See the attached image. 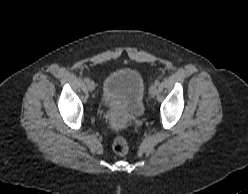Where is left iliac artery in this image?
I'll use <instances>...</instances> for the list:
<instances>
[{"label":"left iliac artery","instance_id":"1","mask_svg":"<svg viewBox=\"0 0 248 194\" xmlns=\"http://www.w3.org/2000/svg\"><path fill=\"white\" fill-rule=\"evenodd\" d=\"M159 84H160L159 80H156L155 85H159Z\"/></svg>","mask_w":248,"mask_h":194}]
</instances>
